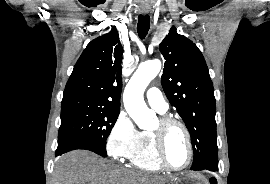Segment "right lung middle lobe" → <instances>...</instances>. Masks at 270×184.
Listing matches in <instances>:
<instances>
[{
    "instance_id": "right-lung-middle-lobe-1",
    "label": "right lung middle lobe",
    "mask_w": 270,
    "mask_h": 184,
    "mask_svg": "<svg viewBox=\"0 0 270 184\" xmlns=\"http://www.w3.org/2000/svg\"><path fill=\"white\" fill-rule=\"evenodd\" d=\"M119 112V108L88 100H62L58 145L69 141H86L106 151V139Z\"/></svg>"
}]
</instances>
